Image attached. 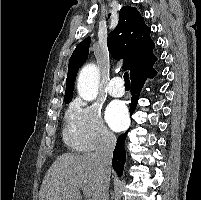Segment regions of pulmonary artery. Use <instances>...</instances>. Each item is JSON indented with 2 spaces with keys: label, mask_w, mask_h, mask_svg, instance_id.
I'll list each match as a JSON object with an SVG mask.
<instances>
[{
  "label": "pulmonary artery",
  "mask_w": 201,
  "mask_h": 200,
  "mask_svg": "<svg viewBox=\"0 0 201 200\" xmlns=\"http://www.w3.org/2000/svg\"><path fill=\"white\" fill-rule=\"evenodd\" d=\"M108 93L113 97H121L124 95L123 80L119 76H115L111 79L107 88Z\"/></svg>",
  "instance_id": "pulmonary-artery-1"
}]
</instances>
